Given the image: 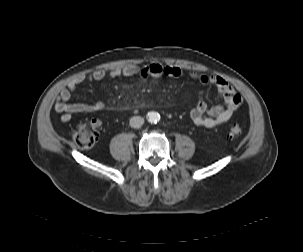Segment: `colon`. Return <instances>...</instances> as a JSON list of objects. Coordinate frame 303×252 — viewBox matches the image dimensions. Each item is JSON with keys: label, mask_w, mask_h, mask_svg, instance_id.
<instances>
[{"label": "colon", "mask_w": 303, "mask_h": 252, "mask_svg": "<svg viewBox=\"0 0 303 252\" xmlns=\"http://www.w3.org/2000/svg\"><path fill=\"white\" fill-rule=\"evenodd\" d=\"M242 128L234 125L229 129V136L236 138L242 134ZM99 137L96 122H86L80 124L73 132V139L76 144L81 148H90L95 145Z\"/></svg>", "instance_id": "5ec220e1"}]
</instances>
